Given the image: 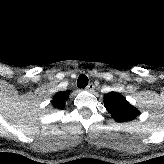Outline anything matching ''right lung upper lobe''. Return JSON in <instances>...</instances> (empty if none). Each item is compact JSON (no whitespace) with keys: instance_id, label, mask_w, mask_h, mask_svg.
I'll return each mask as SVG.
<instances>
[{"instance_id":"right-lung-upper-lobe-1","label":"right lung upper lobe","mask_w":164,"mask_h":164,"mask_svg":"<svg viewBox=\"0 0 164 164\" xmlns=\"http://www.w3.org/2000/svg\"><path fill=\"white\" fill-rule=\"evenodd\" d=\"M68 97H69L68 91L57 93L52 101L53 106L58 109H63Z\"/></svg>"}]
</instances>
